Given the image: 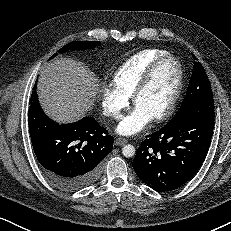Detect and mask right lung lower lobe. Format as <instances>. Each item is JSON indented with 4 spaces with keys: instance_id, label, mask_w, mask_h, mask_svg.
Segmentation results:
<instances>
[{
    "instance_id": "obj_1",
    "label": "right lung lower lobe",
    "mask_w": 231,
    "mask_h": 231,
    "mask_svg": "<svg viewBox=\"0 0 231 231\" xmlns=\"http://www.w3.org/2000/svg\"><path fill=\"white\" fill-rule=\"evenodd\" d=\"M36 84L30 98L28 124L42 171L64 191L85 188L99 178L114 139L90 116L71 124H58L47 117L40 107Z\"/></svg>"
}]
</instances>
